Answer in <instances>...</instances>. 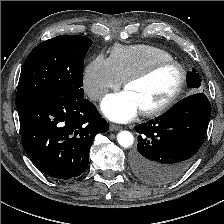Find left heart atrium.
<instances>
[{
    "label": "left heart atrium",
    "instance_id": "39dd6f15",
    "mask_svg": "<svg viewBox=\"0 0 224 224\" xmlns=\"http://www.w3.org/2000/svg\"><path fill=\"white\" fill-rule=\"evenodd\" d=\"M104 115L115 122H128L140 112L136 99L127 91L108 95L101 104Z\"/></svg>",
    "mask_w": 224,
    "mask_h": 224
}]
</instances>
